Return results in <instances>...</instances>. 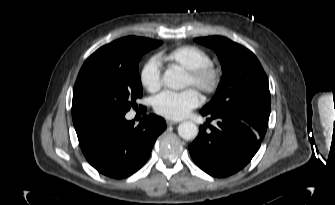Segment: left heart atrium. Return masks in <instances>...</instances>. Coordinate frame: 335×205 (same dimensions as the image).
<instances>
[{
    "mask_svg": "<svg viewBox=\"0 0 335 205\" xmlns=\"http://www.w3.org/2000/svg\"><path fill=\"white\" fill-rule=\"evenodd\" d=\"M201 96L194 89L181 92L166 90L153 100V107L157 114L170 119H181L201 104Z\"/></svg>",
    "mask_w": 335,
    "mask_h": 205,
    "instance_id": "obj_1",
    "label": "left heart atrium"
}]
</instances>
